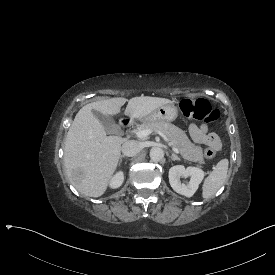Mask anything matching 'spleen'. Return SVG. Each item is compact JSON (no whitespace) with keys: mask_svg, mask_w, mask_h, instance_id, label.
I'll return each instance as SVG.
<instances>
[{"mask_svg":"<svg viewBox=\"0 0 275 275\" xmlns=\"http://www.w3.org/2000/svg\"><path fill=\"white\" fill-rule=\"evenodd\" d=\"M228 166V159H223L219 161L214 167L211 174L204 179L202 187V197L204 199H209L213 197L216 192L222 187L227 177Z\"/></svg>","mask_w":275,"mask_h":275,"instance_id":"obj_1","label":"spleen"}]
</instances>
